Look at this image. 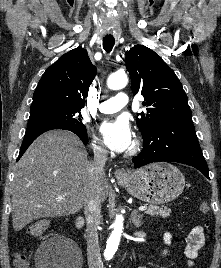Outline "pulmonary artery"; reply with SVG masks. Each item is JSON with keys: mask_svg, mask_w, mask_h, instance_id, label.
Returning <instances> with one entry per match:
<instances>
[{"mask_svg": "<svg viewBox=\"0 0 221 268\" xmlns=\"http://www.w3.org/2000/svg\"><path fill=\"white\" fill-rule=\"evenodd\" d=\"M128 103V96L125 93H118L114 97L100 103L98 110L101 113L109 114L115 113L126 106Z\"/></svg>", "mask_w": 221, "mask_h": 268, "instance_id": "1", "label": "pulmonary artery"}]
</instances>
